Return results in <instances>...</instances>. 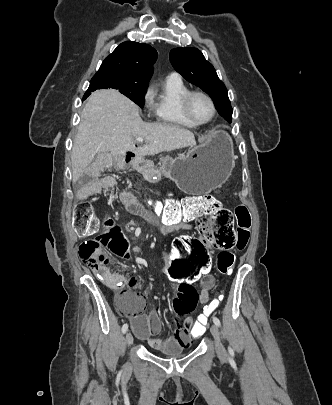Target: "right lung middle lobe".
<instances>
[{
	"instance_id": "right-lung-middle-lobe-1",
	"label": "right lung middle lobe",
	"mask_w": 332,
	"mask_h": 405,
	"mask_svg": "<svg viewBox=\"0 0 332 405\" xmlns=\"http://www.w3.org/2000/svg\"><path fill=\"white\" fill-rule=\"evenodd\" d=\"M148 83L149 81L138 80L119 73L102 72L94 75L87 91L92 92L97 89L114 88L142 108Z\"/></svg>"
}]
</instances>
